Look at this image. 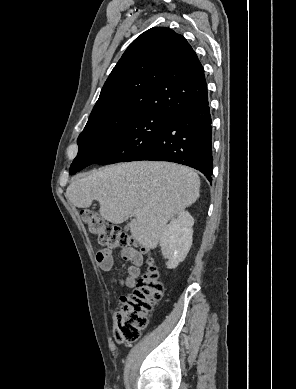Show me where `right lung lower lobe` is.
<instances>
[{
  "mask_svg": "<svg viewBox=\"0 0 296 389\" xmlns=\"http://www.w3.org/2000/svg\"><path fill=\"white\" fill-rule=\"evenodd\" d=\"M208 104L207 100L171 116L166 128L137 160L169 161L187 165L202 172L212 182V119ZM86 166L79 165L70 174Z\"/></svg>",
  "mask_w": 296,
  "mask_h": 389,
  "instance_id": "98d812e1",
  "label": "right lung lower lobe"
}]
</instances>
